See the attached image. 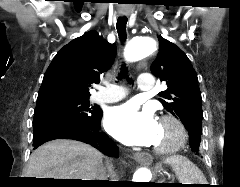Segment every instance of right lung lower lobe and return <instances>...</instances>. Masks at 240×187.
Listing matches in <instances>:
<instances>
[{
  "instance_id": "98d812e1",
  "label": "right lung lower lobe",
  "mask_w": 240,
  "mask_h": 187,
  "mask_svg": "<svg viewBox=\"0 0 240 187\" xmlns=\"http://www.w3.org/2000/svg\"><path fill=\"white\" fill-rule=\"evenodd\" d=\"M101 118L102 110L99 108L98 115L89 122H74L58 116L40 121L33 126L34 149L50 140L74 139L90 144L106 155L118 157V147L105 133L100 131ZM98 186L108 187L110 184Z\"/></svg>"
}]
</instances>
